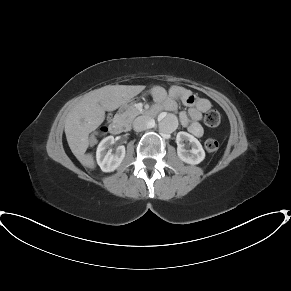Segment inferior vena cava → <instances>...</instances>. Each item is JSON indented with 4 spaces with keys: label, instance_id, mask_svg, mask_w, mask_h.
Here are the masks:
<instances>
[{
    "label": "inferior vena cava",
    "instance_id": "inferior-vena-cava-1",
    "mask_svg": "<svg viewBox=\"0 0 291 291\" xmlns=\"http://www.w3.org/2000/svg\"><path fill=\"white\" fill-rule=\"evenodd\" d=\"M153 120L148 116H139L133 122V129L137 132L151 128Z\"/></svg>",
    "mask_w": 291,
    "mask_h": 291
}]
</instances>
